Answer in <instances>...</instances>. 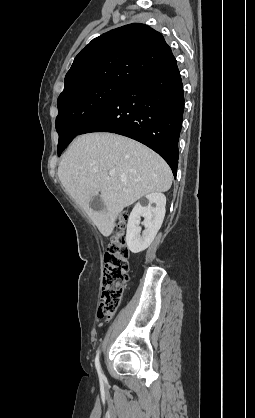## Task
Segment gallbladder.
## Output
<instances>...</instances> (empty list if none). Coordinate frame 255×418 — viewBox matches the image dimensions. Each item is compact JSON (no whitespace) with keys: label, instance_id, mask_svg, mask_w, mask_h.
I'll use <instances>...</instances> for the list:
<instances>
[{"label":"gallbladder","instance_id":"1","mask_svg":"<svg viewBox=\"0 0 255 418\" xmlns=\"http://www.w3.org/2000/svg\"><path fill=\"white\" fill-rule=\"evenodd\" d=\"M90 207L94 211H103V210H105V205H104V202H103L100 194H98V195H96L95 197L92 198V200L90 202Z\"/></svg>","mask_w":255,"mask_h":418}]
</instances>
